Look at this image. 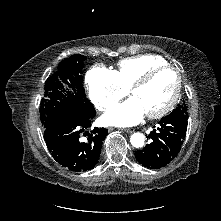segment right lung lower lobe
<instances>
[{"instance_id": "obj_1", "label": "right lung lower lobe", "mask_w": 221, "mask_h": 221, "mask_svg": "<svg viewBox=\"0 0 221 221\" xmlns=\"http://www.w3.org/2000/svg\"><path fill=\"white\" fill-rule=\"evenodd\" d=\"M94 117L95 109L70 112L50 120L44 127L49 152L58 163L71 171H87L98 162L108 131L97 127L90 133L86 131ZM82 133L87 136L86 139L81 138Z\"/></svg>"}]
</instances>
